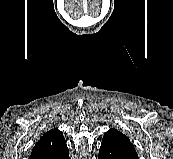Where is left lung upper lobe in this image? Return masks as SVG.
<instances>
[{
    "label": "left lung upper lobe",
    "instance_id": "1",
    "mask_svg": "<svg viewBox=\"0 0 173 159\" xmlns=\"http://www.w3.org/2000/svg\"><path fill=\"white\" fill-rule=\"evenodd\" d=\"M102 143L121 152L138 157L134 145L130 142L129 138L116 129L107 131L104 134Z\"/></svg>",
    "mask_w": 173,
    "mask_h": 159
}]
</instances>
